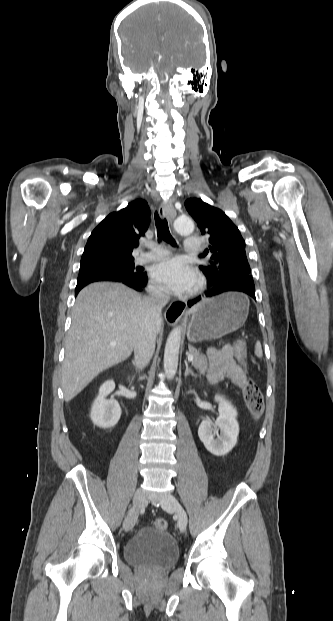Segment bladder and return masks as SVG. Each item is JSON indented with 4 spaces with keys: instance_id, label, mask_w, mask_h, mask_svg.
I'll use <instances>...</instances> for the list:
<instances>
[{
    "instance_id": "1",
    "label": "bladder",
    "mask_w": 333,
    "mask_h": 621,
    "mask_svg": "<svg viewBox=\"0 0 333 621\" xmlns=\"http://www.w3.org/2000/svg\"><path fill=\"white\" fill-rule=\"evenodd\" d=\"M124 558L136 567L166 569L176 563L178 546L167 530L143 527L125 545Z\"/></svg>"
}]
</instances>
